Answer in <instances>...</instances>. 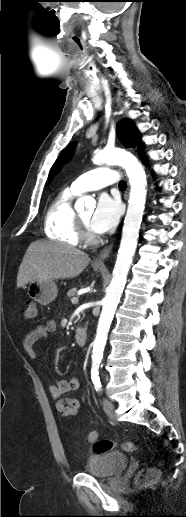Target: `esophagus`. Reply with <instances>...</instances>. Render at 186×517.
<instances>
[{
  "label": "esophagus",
  "instance_id": "34e87169",
  "mask_svg": "<svg viewBox=\"0 0 186 517\" xmlns=\"http://www.w3.org/2000/svg\"><path fill=\"white\" fill-rule=\"evenodd\" d=\"M113 248V243L106 246L103 251L100 253V255L94 260V265L97 266H104L105 260L109 257L111 251Z\"/></svg>",
  "mask_w": 186,
  "mask_h": 517
}]
</instances>
